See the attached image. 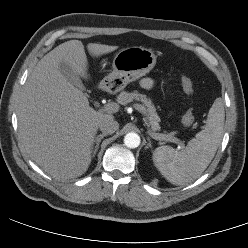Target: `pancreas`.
Instances as JSON below:
<instances>
[{
  "label": "pancreas",
  "mask_w": 248,
  "mask_h": 248,
  "mask_svg": "<svg viewBox=\"0 0 248 248\" xmlns=\"http://www.w3.org/2000/svg\"><path fill=\"white\" fill-rule=\"evenodd\" d=\"M140 101L142 102V106L145 109V124L149 128L148 132L150 135H157L160 137V140H167L169 137H173L172 133L169 134H161L156 133V131L160 130V118L157 115L156 108L152 101L144 94H140L137 91L134 92H127L123 91L117 96V102L121 105H127L132 101Z\"/></svg>",
  "instance_id": "cf45deb5"
}]
</instances>
